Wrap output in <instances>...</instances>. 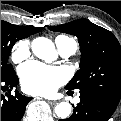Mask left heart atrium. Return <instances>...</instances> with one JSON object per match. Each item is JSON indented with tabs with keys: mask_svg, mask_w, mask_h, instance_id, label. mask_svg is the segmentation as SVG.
<instances>
[{
	"mask_svg": "<svg viewBox=\"0 0 121 121\" xmlns=\"http://www.w3.org/2000/svg\"><path fill=\"white\" fill-rule=\"evenodd\" d=\"M24 89L35 95H51L65 82L66 74L56 66L30 62L20 71Z\"/></svg>",
	"mask_w": 121,
	"mask_h": 121,
	"instance_id": "39dd6f15",
	"label": "left heart atrium"
}]
</instances>
